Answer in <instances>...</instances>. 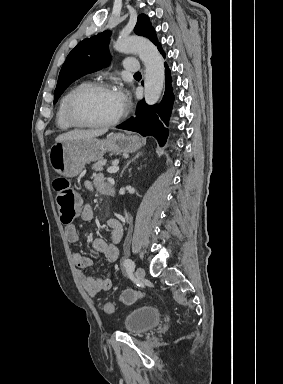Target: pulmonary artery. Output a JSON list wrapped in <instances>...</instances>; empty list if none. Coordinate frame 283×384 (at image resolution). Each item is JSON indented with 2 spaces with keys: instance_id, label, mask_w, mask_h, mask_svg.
<instances>
[{
  "instance_id": "e3ab8cb5",
  "label": "pulmonary artery",
  "mask_w": 283,
  "mask_h": 384,
  "mask_svg": "<svg viewBox=\"0 0 283 384\" xmlns=\"http://www.w3.org/2000/svg\"><path fill=\"white\" fill-rule=\"evenodd\" d=\"M124 68L126 71H137L138 70V62L137 61H125Z\"/></svg>"
}]
</instances>
